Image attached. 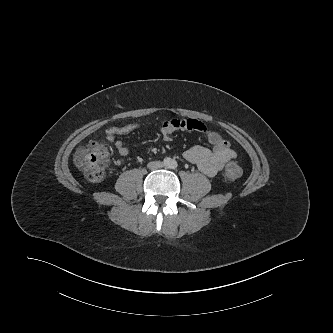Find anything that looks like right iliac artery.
I'll return each instance as SVG.
<instances>
[{
    "instance_id": "82829eb1",
    "label": "right iliac artery",
    "mask_w": 333,
    "mask_h": 333,
    "mask_svg": "<svg viewBox=\"0 0 333 333\" xmlns=\"http://www.w3.org/2000/svg\"><path fill=\"white\" fill-rule=\"evenodd\" d=\"M164 165H169L170 164V159L169 158H165L163 161Z\"/></svg>"
}]
</instances>
